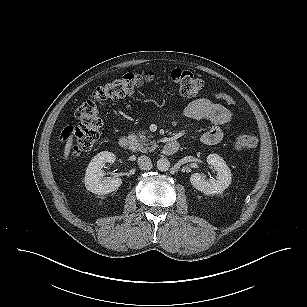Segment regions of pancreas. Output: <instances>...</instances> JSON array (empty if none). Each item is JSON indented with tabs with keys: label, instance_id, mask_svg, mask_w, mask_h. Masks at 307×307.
I'll return each mask as SVG.
<instances>
[{
	"label": "pancreas",
	"instance_id": "pancreas-1",
	"mask_svg": "<svg viewBox=\"0 0 307 307\" xmlns=\"http://www.w3.org/2000/svg\"><path fill=\"white\" fill-rule=\"evenodd\" d=\"M145 134L146 132H142L138 136L132 135V137L135 138V141L138 145L137 146L138 151H141L143 153L152 152L158 147V145L154 140L150 139L151 136H148L147 138Z\"/></svg>",
	"mask_w": 307,
	"mask_h": 307
}]
</instances>
